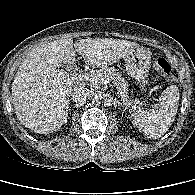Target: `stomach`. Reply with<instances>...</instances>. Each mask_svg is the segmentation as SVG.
<instances>
[{
    "label": "stomach",
    "mask_w": 195,
    "mask_h": 195,
    "mask_svg": "<svg viewBox=\"0 0 195 195\" xmlns=\"http://www.w3.org/2000/svg\"><path fill=\"white\" fill-rule=\"evenodd\" d=\"M150 66V53L143 48H137L125 57V67L128 75L142 86L148 83Z\"/></svg>",
    "instance_id": "0dacf381"
}]
</instances>
